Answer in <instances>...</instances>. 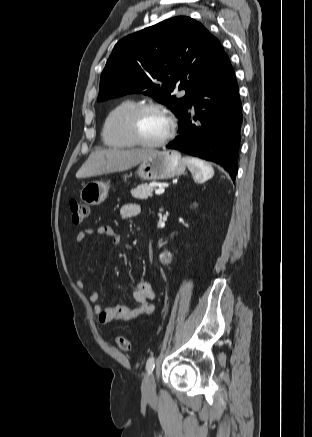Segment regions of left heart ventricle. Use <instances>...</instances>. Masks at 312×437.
I'll use <instances>...</instances> for the list:
<instances>
[{"label": "left heart ventricle", "instance_id": "left-heart-ventricle-1", "mask_svg": "<svg viewBox=\"0 0 312 437\" xmlns=\"http://www.w3.org/2000/svg\"><path fill=\"white\" fill-rule=\"evenodd\" d=\"M138 125L141 136L148 141L162 139L169 126L167 118L157 111H146L141 114Z\"/></svg>", "mask_w": 312, "mask_h": 437}]
</instances>
